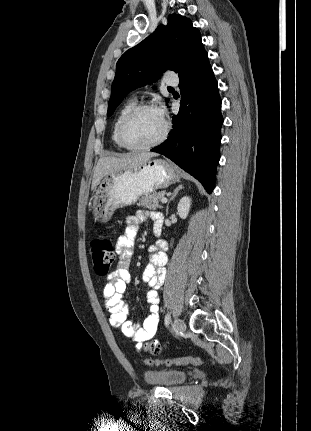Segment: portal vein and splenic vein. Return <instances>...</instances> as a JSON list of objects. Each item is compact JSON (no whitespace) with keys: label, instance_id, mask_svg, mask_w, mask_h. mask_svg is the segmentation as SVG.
<instances>
[{"label":"portal vein and splenic vein","instance_id":"1","mask_svg":"<svg viewBox=\"0 0 311 431\" xmlns=\"http://www.w3.org/2000/svg\"><path fill=\"white\" fill-rule=\"evenodd\" d=\"M167 202H168L167 198H162L161 204H167Z\"/></svg>","mask_w":311,"mask_h":431}]
</instances>
